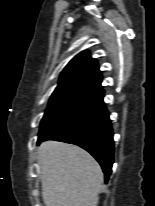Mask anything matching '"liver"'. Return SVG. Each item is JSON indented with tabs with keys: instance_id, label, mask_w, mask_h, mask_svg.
<instances>
[{
	"instance_id": "liver-1",
	"label": "liver",
	"mask_w": 155,
	"mask_h": 206,
	"mask_svg": "<svg viewBox=\"0 0 155 206\" xmlns=\"http://www.w3.org/2000/svg\"><path fill=\"white\" fill-rule=\"evenodd\" d=\"M45 206H97L104 175L82 148L56 141L40 145L37 157Z\"/></svg>"
}]
</instances>
